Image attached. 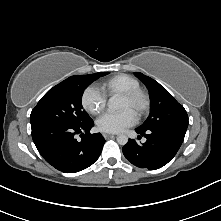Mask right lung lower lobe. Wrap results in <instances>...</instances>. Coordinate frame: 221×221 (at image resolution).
Listing matches in <instances>:
<instances>
[{
    "instance_id": "1",
    "label": "right lung lower lobe",
    "mask_w": 221,
    "mask_h": 221,
    "mask_svg": "<svg viewBox=\"0 0 221 221\" xmlns=\"http://www.w3.org/2000/svg\"><path fill=\"white\" fill-rule=\"evenodd\" d=\"M93 125L92 119L81 125L41 124L32 127V138L39 153L50 165L64 173H76L99 158L105 143L100 133H89ZM76 134L82 137L80 142L75 139Z\"/></svg>"
}]
</instances>
